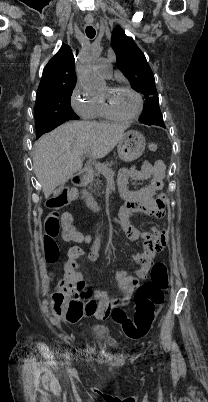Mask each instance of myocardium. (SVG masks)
Listing matches in <instances>:
<instances>
[{
	"label": "myocardium",
	"instance_id": "1",
	"mask_svg": "<svg viewBox=\"0 0 208 402\" xmlns=\"http://www.w3.org/2000/svg\"><path fill=\"white\" fill-rule=\"evenodd\" d=\"M120 89L131 92L132 94H134L136 96V98L138 100V107L132 115L123 116V115L117 113L112 107L110 98L115 91L120 90ZM98 97H99L101 103L103 104V106L105 107V109L107 110V112L109 113V115H111L113 118H115L118 121H130V120L137 118L142 113V110L144 107V100H143L142 95L135 89H133L129 86H126V85H117V86H113V87L105 86L104 92L99 94Z\"/></svg>",
	"mask_w": 208,
	"mask_h": 402
}]
</instances>
